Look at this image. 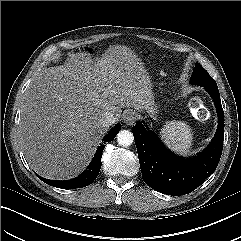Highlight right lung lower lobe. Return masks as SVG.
<instances>
[{"instance_id": "obj_1", "label": "right lung lower lobe", "mask_w": 241, "mask_h": 241, "mask_svg": "<svg viewBox=\"0 0 241 241\" xmlns=\"http://www.w3.org/2000/svg\"><path fill=\"white\" fill-rule=\"evenodd\" d=\"M121 130V125L117 124L110 132L103 138L102 144L98 147L93 160L91 161L88 168L80 174L78 177L67 180V181H53L42 178L38 176L43 182L47 183L48 185L62 188V189H74V188H81L90 185L98 176L99 171L101 169V156L103 148L105 147V143L108 141H112L117 133Z\"/></svg>"}]
</instances>
